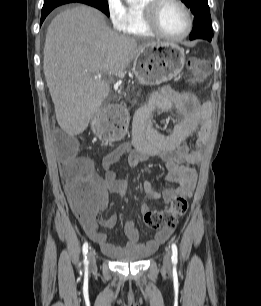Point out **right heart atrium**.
<instances>
[{"instance_id": "d8ad5b80", "label": "right heart atrium", "mask_w": 261, "mask_h": 306, "mask_svg": "<svg viewBox=\"0 0 261 306\" xmlns=\"http://www.w3.org/2000/svg\"><path fill=\"white\" fill-rule=\"evenodd\" d=\"M106 8L113 28L123 30L126 23V6L123 0H106Z\"/></svg>"}]
</instances>
